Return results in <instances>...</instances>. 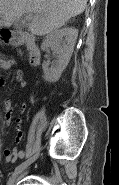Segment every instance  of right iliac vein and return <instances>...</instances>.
<instances>
[{
	"label": "right iliac vein",
	"mask_w": 119,
	"mask_h": 185,
	"mask_svg": "<svg viewBox=\"0 0 119 185\" xmlns=\"http://www.w3.org/2000/svg\"><path fill=\"white\" fill-rule=\"evenodd\" d=\"M25 168H26V167H25ZM25 168H23L21 171H19V172L8 182L7 185H15L16 180L18 179V177L20 176V174H22V172L24 171Z\"/></svg>",
	"instance_id": "1"
}]
</instances>
